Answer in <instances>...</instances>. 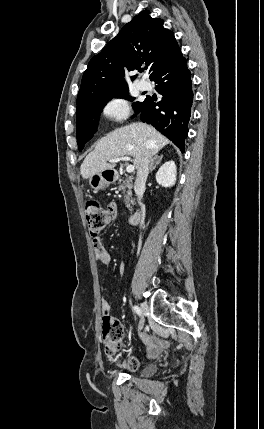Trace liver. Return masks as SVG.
<instances>
[{
  "label": "liver",
  "instance_id": "obj_1",
  "mask_svg": "<svg viewBox=\"0 0 264 429\" xmlns=\"http://www.w3.org/2000/svg\"><path fill=\"white\" fill-rule=\"evenodd\" d=\"M168 142L155 128L144 123L117 128L97 142L94 150L84 159L80 174L87 179L96 172L113 169L115 165L107 162L126 155L133 157L137 169L145 154L155 155Z\"/></svg>",
  "mask_w": 264,
  "mask_h": 429
}]
</instances>
